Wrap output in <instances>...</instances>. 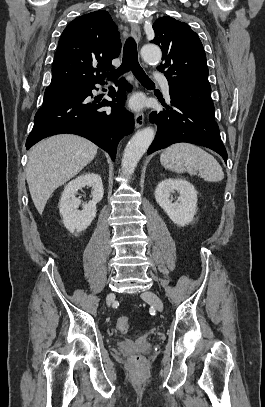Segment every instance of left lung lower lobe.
Wrapping results in <instances>:
<instances>
[{"label": "left lung lower lobe", "mask_w": 265, "mask_h": 407, "mask_svg": "<svg viewBox=\"0 0 265 407\" xmlns=\"http://www.w3.org/2000/svg\"><path fill=\"white\" fill-rule=\"evenodd\" d=\"M163 105L164 111L150 114V121L157 124L158 131L148 154L174 143L188 142L214 150L227 163V152L215 118L176 100L171 99L170 106Z\"/></svg>", "instance_id": "1"}]
</instances>
